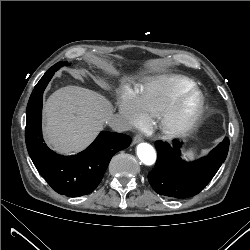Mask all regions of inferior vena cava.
<instances>
[{"mask_svg": "<svg viewBox=\"0 0 250 250\" xmlns=\"http://www.w3.org/2000/svg\"><path fill=\"white\" fill-rule=\"evenodd\" d=\"M106 123L116 132H124L130 129L129 121L121 115H113L106 120Z\"/></svg>", "mask_w": 250, "mask_h": 250, "instance_id": "602c4592", "label": "inferior vena cava"}]
</instances>
